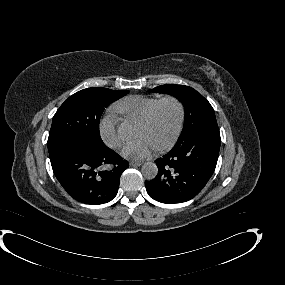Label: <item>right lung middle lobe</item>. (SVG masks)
<instances>
[{
    "label": "right lung middle lobe",
    "instance_id": "1",
    "mask_svg": "<svg viewBox=\"0 0 285 285\" xmlns=\"http://www.w3.org/2000/svg\"><path fill=\"white\" fill-rule=\"evenodd\" d=\"M129 91L91 87L70 96L55 113L48 137V151L79 144L93 151L106 150L100 137L99 121L105 108Z\"/></svg>",
    "mask_w": 285,
    "mask_h": 285
}]
</instances>
